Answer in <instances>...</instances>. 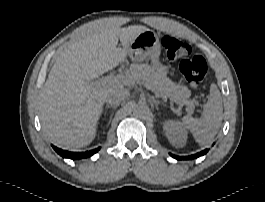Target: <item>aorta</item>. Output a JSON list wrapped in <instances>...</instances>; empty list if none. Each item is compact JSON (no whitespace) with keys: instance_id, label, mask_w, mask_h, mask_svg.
I'll list each match as a JSON object with an SVG mask.
<instances>
[{"instance_id":"762f6f07","label":"aorta","mask_w":265,"mask_h":202,"mask_svg":"<svg viewBox=\"0 0 265 202\" xmlns=\"http://www.w3.org/2000/svg\"><path fill=\"white\" fill-rule=\"evenodd\" d=\"M133 112L138 116H145L149 112L147 104L139 102L133 106Z\"/></svg>"}]
</instances>
